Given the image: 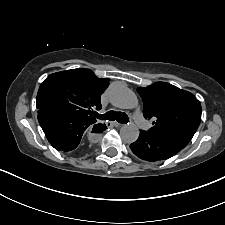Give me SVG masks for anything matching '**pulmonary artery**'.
<instances>
[{"instance_id": "pulmonary-artery-1", "label": "pulmonary artery", "mask_w": 225, "mask_h": 225, "mask_svg": "<svg viewBox=\"0 0 225 225\" xmlns=\"http://www.w3.org/2000/svg\"><path fill=\"white\" fill-rule=\"evenodd\" d=\"M133 118L140 127L144 128V129L149 128V124L147 123V121L145 120V118L143 117L142 113L139 110H136L133 113Z\"/></svg>"}]
</instances>
